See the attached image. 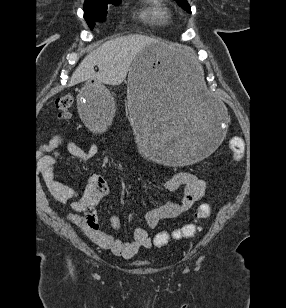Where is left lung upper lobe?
I'll use <instances>...</instances> for the list:
<instances>
[{
	"instance_id": "obj_1",
	"label": "left lung upper lobe",
	"mask_w": 286,
	"mask_h": 308,
	"mask_svg": "<svg viewBox=\"0 0 286 308\" xmlns=\"http://www.w3.org/2000/svg\"><path fill=\"white\" fill-rule=\"evenodd\" d=\"M176 2L186 11L191 12L190 6L187 0H176Z\"/></svg>"
}]
</instances>
